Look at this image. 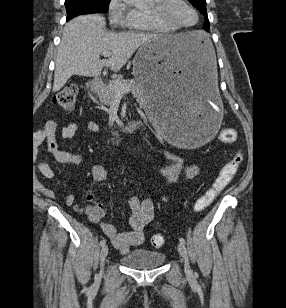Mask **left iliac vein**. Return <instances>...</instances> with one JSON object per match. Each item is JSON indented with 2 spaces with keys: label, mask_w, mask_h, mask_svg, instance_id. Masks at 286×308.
Returning a JSON list of instances; mask_svg holds the SVG:
<instances>
[{
  "label": "left iliac vein",
  "mask_w": 286,
  "mask_h": 308,
  "mask_svg": "<svg viewBox=\"0 0 286 308\" xmlns=\"http://www.w3.org/2000/svg\"><path fill=\"white\" fill-rule=\"evenodd\" d=\"M178 252L181 255V257L184 260V266H185V272L187 275H190L192 273L191 268H190V264H189V259H188V253H187V249L186 246L182 243H179L178 245Z\"/></svg>",
  "instance_id": "obj_1"
}]
</instances>
